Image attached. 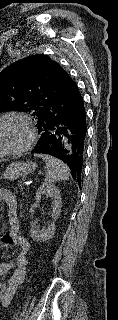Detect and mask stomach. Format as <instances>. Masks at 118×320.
<instances>
[{
    "mask_svg": "<svg viewBox=\"0 0 118 320\" xmlns=\"http://www.w3.org/2000/svg\"><path fill=\"white\" fill-rule=\"evenodd\" d=\"M37 168L38 164L33 160L13 161L5 167L0 175L1 178L7 180L24 179L27 176L32 175Z\"/></svg>",
    "mask_w": 118,
    "mask_h": 320,
    "instance_id": "stomach-1",
    "label": "stomach"
}]
</instances>
